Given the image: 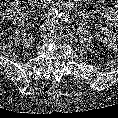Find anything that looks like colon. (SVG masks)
Instances as JSON below:
<instances>
[{
	"instance_id": "5ec220e1",
	"label": "colon",
	"mask_w": 118,
	"mask_h": 118,
	"mask_svg": "<svg viewBox=\"0 0 118 118\" xmlns=\"http://www.w3.org/2000/svg\"><path fill=\"white\" fill-rule=\"evenodd\" d=\"M30 0H0V15L7 18L17 17L30 10Z\"/></svg>"
}]
</instances>
